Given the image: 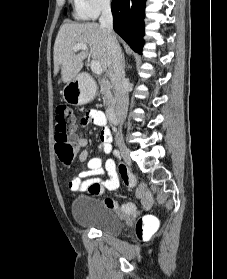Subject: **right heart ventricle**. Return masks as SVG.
I'll use <instances>...</instances> for the list:
<instances>
[{"instance_id": "right-heart-ventricle-1", "label": "right heart ventricle", "mask_w": 227, "mask_h": 279, "mask_svg": "<svg viewBox=\"0 0 227 279\" xmlns=\"http://www.w3.org/2000/svg\"><path fill=\"white\" fill-rule=\"evenodd\" d=\"M75 2V16L79 19H83L87 16V14L83 11V9L81 8V1L80 0H73Z\"/></svg>"}]
</instances>
